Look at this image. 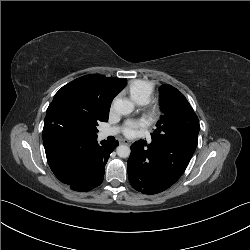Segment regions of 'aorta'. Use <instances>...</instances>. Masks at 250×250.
<instances>
[{
	"mask_svg": "<svg viewBox=\"0 0 250 250\" xmlns=\"http://www.w3.org/2000/svg\"><path fill=\"white\" fill-rule=\"evenodd\" d=\"M116 113L120 115H128L133 109L134 105L127 99H116L113 104ZM117 155L121 158H127L130 155V148L126 145H119L117 147Z\"/></svg>",
	"mask_w": 250,
	"mask_h": 250,
	"instance_id": "aorta-1",
	"label": "aorta"
}]
</instances>
